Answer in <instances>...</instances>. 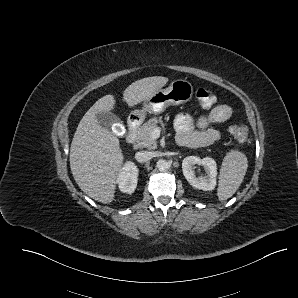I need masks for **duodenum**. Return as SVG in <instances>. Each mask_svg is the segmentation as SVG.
I'll list each match as a JSON object with an SVG mask.
<instances>
[{"instance_id":"1","label":"duodenum","mask_w":298,"mask_h":298,"mask_svg":"<svg viewBox=\"0 0 298 298\" xmlns=\"http://www.w3.org/2000/svg\"><path fill=\"white\" fill-rule=\"evenodd\" d=\"M139 127V119L136 117H133L129 120L128 123V132L126 135V141L136 147L137 145V132ZM177 143L182 147H198L201 145L200 140L192 135L187 134H178L177 135Z\"/></svg>"}]
</instances>
